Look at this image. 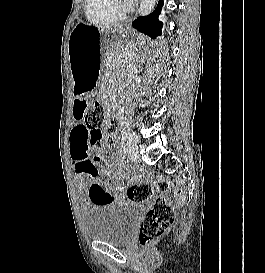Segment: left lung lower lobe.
I'll return each instance as SVG.
<instances>
[{
	"label": "left lung lower lobe",
	"mask_w": 265,
	"mask_h": 273,
	"mask_svg": "<svg viewBox=\"0 0 265 273\" xmlns=\"http://www.w3.org/2000/svg\"><path fill=\"white\" fill-rule=\"evenodd\" d=\"M163 6V0H159L158 6L154 12L148 16L138 17L132 22V26L137 29L139 32L147 34L151 38H156L161 35L160 31L162 27V22L158 20L161 8Z\"/></svg>",
	"instance_id": "0a47b994"
}]
</instances>
